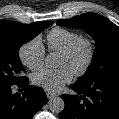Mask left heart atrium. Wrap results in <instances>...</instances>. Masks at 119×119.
<instances>
[{
    "instance_id": "39dd6f15",
    "label": "left heart atrium",
    "mask_w": 119,
    "mask_h": 119,
    "mask_svg": "<svg viewBox=\"0 0 119 119\" xmlns=\"http://www.w3.org/2000/svg\"><path fill=\"white\" fill-rule=\"evenodd\" d=\"M74 73L66 67L59 69H41L35 72L31 79L33 84L50 92L59 91L65 84L71 82Z\"/></svg>"
}]
</instances>
